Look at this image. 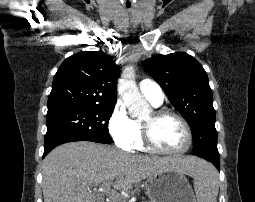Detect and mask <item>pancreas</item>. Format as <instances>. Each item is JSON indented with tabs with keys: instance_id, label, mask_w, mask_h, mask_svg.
I'll use <instances>...</instances> for the list:
<instances>
[{
	"instance_id": "obj_1",
	"label": "pancreas",
	"mask_w": 255,
	"mask_h": 202,
	"mask_svg": "<svg viewBox=\"0 0 255 202\" xmlns=\"http://www.w3.org/2000/svg\"><path fill=\"white\" fill-rule=\"evenodd\" d=\"M113 202H127L126 198L123 196H117L115 197V199L113 200Z\"/></svg>"
}]
</instances>
